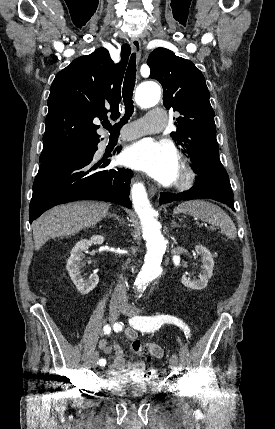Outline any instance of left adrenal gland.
Returning <instances> with one entry per match:
<instances>
[{"instance_id": "1", "label": "left adrenal gland", "mask_w": 275, "mask_h": 429, "mask_svg": "<svg viewBox=\"0 0 275 429\" xmlns=\"http://www.w3.org/2000/svg\"><path fill=\"white\" fill-rule=\"evenodd\" d=\"M180 227L174 220H172V228Z\"/></svg>"}]
</instances>
